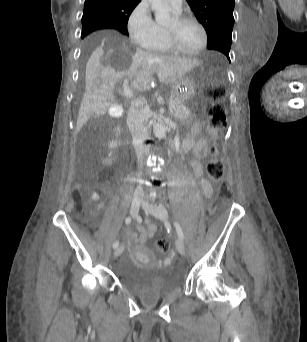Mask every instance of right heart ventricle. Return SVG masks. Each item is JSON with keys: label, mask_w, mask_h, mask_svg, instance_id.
I'll return each mask as SVG.
<instances>
[{"label": "right heart ventricle", "mask_w": 307, "mask_h": 342, "mask_svg": "<svg viewBox=\"0 0 307 342\" xmlns=\"http://www.w3.org/2000/svg\"><path fill=\"white\" fill-rule=\"evenodd\" d=\"M147 48L153 51H158V52H163V53L167 52L166 48L163 45V40L156 41L148 45Z\"/></svg>", "instance_id": "1"}]
</instances>
